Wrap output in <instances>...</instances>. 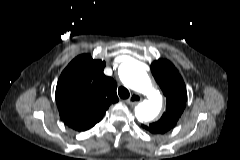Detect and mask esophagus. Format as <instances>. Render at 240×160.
Returning <instances> with one entry per match:
<instances>
[{
    "label": "esophagus",
    "mask_w": 240,
    "mask_h": 160,
    "mask_svg": "<svg viewBox=\"0 0 240 160\" xmlns=\"http://www.w3.org/2000/svg\"><path fill=\"white\" fill-rule=\"evenodd\" d=\"M141 102V97L138 94H132L127 100L126 103L135 106Z\"/></svg>",
    "instance_id": "1"
}]
</instances>
